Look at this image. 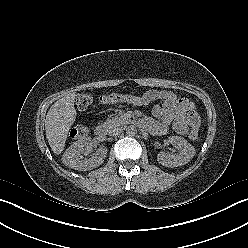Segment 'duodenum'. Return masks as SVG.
Masks as SVG:
<instances>
[{
	"label": "duodenum",
	"mask_w": 248,
	"mask_h": 248,
	"mask_svg": "<svg viewBox=\"0 0 248 248\" xmlns=\"http://www.w3.org/2000/svg\"><path fill=\"white\" fill-rule=\"evenodd\" d=\"M95 134H96V136H98L100 138H104L107 134L106 125L105 124L97 125V127L95 128Z\"/></svg>",
	"instance_id": "410a0bca"
}]
</instances>
